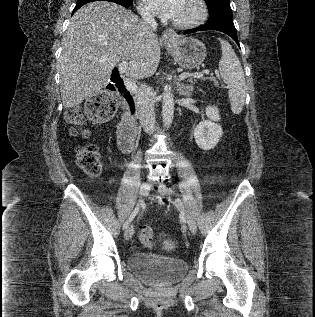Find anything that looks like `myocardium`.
Returning <instances> with one entry per match:
<instances>
[{
  "instance_id": "1",
  "label": "myocardium",
  "mask_w": 315,
  "mask_h": 317,
  "mask_svg": "<svg viewBox=\"0 0 315 317\" xmlns=\"http://www.w3.org/2000/svg\"><path fill=\"white\" fill-rule=\"evenodd\" d=\"M194 2L198 9L197 15L193 19L188 21L173 20L172 24L175 27L181 28V29L194 28L201 25L206 20L208 15V8H207L205 0H194Z\"/></svg>"
}]
</instances>
